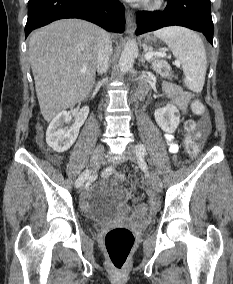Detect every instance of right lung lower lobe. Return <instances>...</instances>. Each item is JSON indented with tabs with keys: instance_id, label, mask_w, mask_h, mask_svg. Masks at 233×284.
Wrapping results in <instances>:
<instances>
[{
	"instance_id": "right-lung-lower-lobe-1",
	"label": "right lung lower lobe",
	"mask_w": 233,
	"mask_h": 284,
	"mask_svg": "<svg viewBox=\"0 0 233 284\" xmlns=\"http://www.w3.org/2000/svg\"><path fill=\"white\" fill-rule=\"evenodd\" d=\"M63 18L84 19L113 32L125 30L124 7L117 0H29L25 36Z\"/></svg>"
}]
</instances>
